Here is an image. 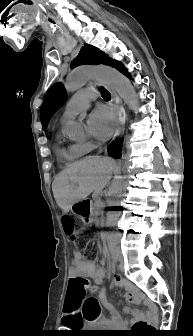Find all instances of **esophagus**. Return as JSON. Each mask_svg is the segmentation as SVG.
Instances as JSON below:
<instances>
[{"instance_id": "obj_1", "label": "esophagus", "mask_w": 193, "mask_h": 336, "mask_svg": "<svg viewBox=\"0 0 193 336\" xmlns=\"http://www.w3.org/2000/svg\"><path fill=\"white\" fill-rule=\"evenodd\" d=\"M100 84L104 86L111 95V106L113 107L115 114H116V118H117L116 130H115V134L113 138V140H116L117 138H120L124 133L125 117H126L125 110L123 107L122 100L118 96L116 91L105 83L100 82Z\"/></svg>"}]
</instances>
